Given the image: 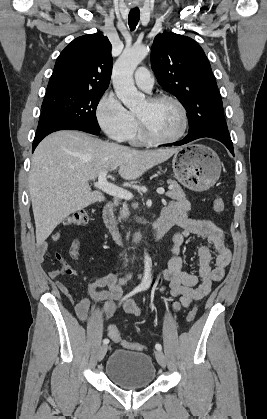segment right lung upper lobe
Here are the masks:
<instances>
[{
    "label": "right lung upper lobe",
    "instance_id": "cb5924a9",
    "mask_svg": "<svg viewBox=\"0 0 267 419\" xmlns=\"http://www.w3.org/2000/svg\"><path fill=\"white\" fill-rule=\"evenodd\" d=\"M113 60L111 43L101 33L74 39L59 55L47 92L62 90L105 91Z\"/></svg>",
    "mask_w": 267,
    "mask_h": 419
}]
</instances>
